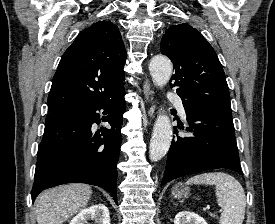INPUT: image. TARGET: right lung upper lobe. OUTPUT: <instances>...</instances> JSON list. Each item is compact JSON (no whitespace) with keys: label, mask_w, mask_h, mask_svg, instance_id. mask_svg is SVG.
Here are the masks:
<instances>
[{"label":"right lung upper lobe","mask_w":275,"mask_h":224,"mask_svg":"<svg viewBox=\"0 0 275 224\" xmlns=\"http://www.w3.org/2000/svg\"><path fill=\"white\" fill-rule=\"evenodd\" d=\"M126 51L119 29L99 21L63 54L48 96V111L86 107L123 90Z\"/></svg>","instance_id":"cb5924a9"}]
</instances>
